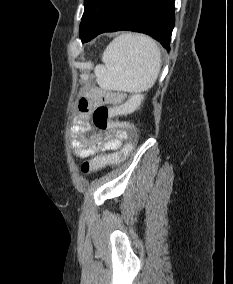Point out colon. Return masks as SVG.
<instances>
[{"mask_svg":"<svg viewBox=\"0 0 233 284\" xmlns=\"http://www.w3.org/2000/svg\"><path fill=\"white\" fill-rule=\"evenodd\" d=\"M142 99V94L134 93L123 104L117 107H108L105 105L96 107L92 113L94 125L100 130H110L116 127H122V123L114 122L112 118L119 115L133 113L138 109ZM136 141L137 131L134 126L129 127L127 137L125 138V143L118 151L108 155L97 156L89 161L84 162L81 166L82 173L87 175L104 167L105 165L123 161L132 152Z\"/></svg>","mask_w":233,"mask_h":284,"instance_id":"colon-1","label":"colon"}]
</instances>
